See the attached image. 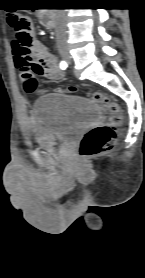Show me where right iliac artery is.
<instances>
[{
    "instance_id": "82829eb1",
    "label": "right iliac artery",
    "mask_w": 145,
    "mask_h": 278,
    "mask_svg": "<svg viewBox=\"0 0 145 278\" xmlns=\"http://www.w3.org/2000/svg\"><path fill=\"white\" fill-rule=\"evenodd\" d=\"M66 67H67V63H66L65 61H61V62H60V68H61L62 70H64V69H66Z\"/></svg>"
}]
</instances>
